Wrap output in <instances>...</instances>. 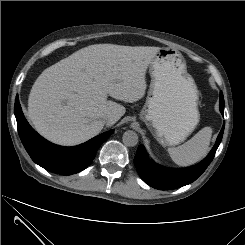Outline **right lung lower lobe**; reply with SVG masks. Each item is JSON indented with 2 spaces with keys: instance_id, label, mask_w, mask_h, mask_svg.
Returning a JSON list of instances; mask_svg holds the SVG:
<instances>
[{
  "instance_id": "right-lung-lower-lobe-1",
  "label": "right lung lower lobe",
  "mask_w": 245,
  "mask_h": 245,
  "mask_svg": "<svg viewBox=\"0 0 245 245\" xmlns=\"http://www.w3.org/2000/svg\"><path fill=\"white\" fill-rule=\"evenodd\" d=\"M15 116L21 141L32 160L44 169L62 175H72L88 167L100 145L114 132L102 133L74 147L55 145L41 137L27 122L19 98L15 100Z\"/></svg>"
}]
</instances>
